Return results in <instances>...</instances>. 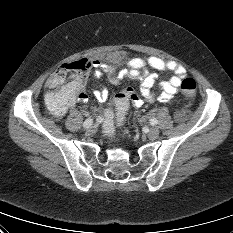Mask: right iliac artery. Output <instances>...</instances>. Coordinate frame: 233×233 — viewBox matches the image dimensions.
<instances>
[{
  "label": "right iliac artery",
  "instance_id": "obj_1",
  "mask_svg": "<svg viewBox=\"0 0 233 233\" xmlns=\"http://www.w3.org/2000/svg\"><path fill=\"white\" fill-rule=\"evenodd\" d=\"M92 124H93V120L90 119V118H88V119H86L85 122L83 123V127H84V128H90V127L92 126Z\"/></svg>",
  "mask_w": 233,
  "mask_h": 233
}]
</instances>
